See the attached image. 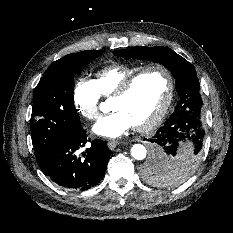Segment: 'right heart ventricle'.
I'll return each mask as SVG.
<instances>
[{
  "mask_svg": "<svg viewBox=\"0 0 233 233\" xmlns=\"http://www.w3.org/2000/svg\"><path fill=\"white\" fill-rule=\"evenodd\" d=\"M142 67L143 66L139 65H109L98 70L95 73L94 82L102 96L110 97L126 78H128L130 75H132Z\"/></svg>",
  "mask_w": 233,
  "mask_h": 233,
  "instance_id": "right-heart-ventricle-1",
  "label": "right heart ventricle"
}]
</instances>
